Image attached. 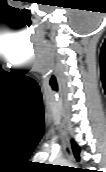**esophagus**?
I'll list each match as a JSON object with an SVG mask.
<instances>
[{
	"label": "esophagus",
	"mask_w": 106,
	"mask_h": 172,
	"mask_svg": "<svg viewBox=\"0 0 106 172\" xmlns=\"http://www.w3.org/2000/svg\"><path fill=\"white\" fill-rule=\"evenodd\" d=\"M62 133H63V136H64L66 156L70 161L75 162L74 156H73V153H72V150H71V147H70L68 131H67V128H66L64 123L62 124Z\"/></svg>",
	"instance_id": "1"
}]
</instances>
